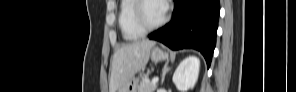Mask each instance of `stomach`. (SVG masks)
Returning <instances> with one entry per match:
<instances>
[{
    "label": "stomach",
    "instance_id": "obj_1",
    "mask_svg": "<svg viewBox=\"0 0 296 92\" xmlns=\"http://www.w3.org/2000/svg\"><path fill=\"white\" fill-rule=\"evenodd\" d=\"M151 60L155 63L168 59V53L158 47H153L150 53ZM139 78L132 77L118 92H138Z\"/></svg>",
    "mask_w": 296,
    "mask_h": 92
}]
</instances>
